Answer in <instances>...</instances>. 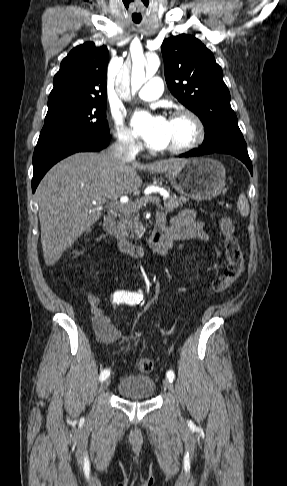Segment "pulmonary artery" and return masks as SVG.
<instances>
[{
	"instance_id": "obj_1",
	"label": "pulmonary artery",
	"mask_w": 287,
	"mask_h": 486,
	"mask_svg": "<svg viewBox=\"0 0 287 486\" xmlns=\"http://www.w3.org/2000/svg\"><path fill=\"white\" fill-rule=\"evenodd\" d=\"M162 88V80L160 78H152L138 91V97L145 101L158 99L162 94Z\"/></svg>"
}]
</instances>
